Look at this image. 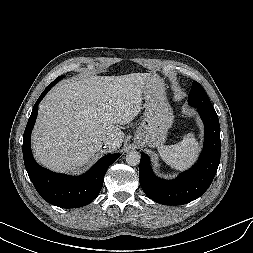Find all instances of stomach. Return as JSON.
I'll use <instances>...</instances> for the list:
<instances>
[{
  "label": "stomach",
  "instance_id": "1",
  "mask_svg": "<svg viewBox=\"0 0 253 253\" xmlns=\"http://www.w3.org/2000/svg\"><path fill=\"white\" fill-rule=\"evenodd\" d=\"M165 89L161 79L143 88L145 112L134 140L149 147L162 145L173 124V112Z\"/></svg>",
  "mask_w": 253,
  "mask_h": 253
}]
</instances>
